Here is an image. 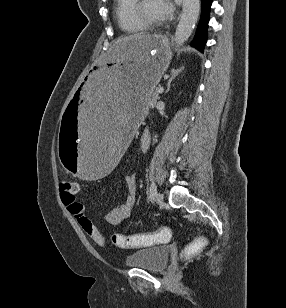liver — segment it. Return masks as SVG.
<instances>
[{
	"label": "liver",
	"instance_id": "1",
	"mask_svg": "<svg viewBox=\"0 0 286 308\" xmlns=\"http://www.w3.org/2000/svg\"><path fill=\"white\" fill-rule=\"evenodd\" d=\"M143 36H146V34H144V33H139V34H134V35H130V36H127V37L118 39L117 41L114 42L113 46L111 47V51H112L119 43H121L122 41L130 40V39L138 38V37H143Z\"/></svg>",
	"mask_w": 286,
	"mask_h": 308
}]
</instances>
